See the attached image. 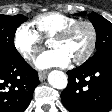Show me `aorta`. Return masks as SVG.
Segmentation results:
<instances>
[{
    "mask_svg": "<svg viewBox=\"0 0 112 112\" xmlns=\"http://www.w3.org/2000/svg\"><path fill=\"white\" fill-rule=\"evenodd\" d=\"M49 84L56 89H64L67 86L68 80L65 73L58 70H53L48 75Z\"/></svg>",
    "mask_w": 112,
    "mask_h": 112,
    "instance_id": "762f6f07",
    "label": "aorta"
}]
</instances>
